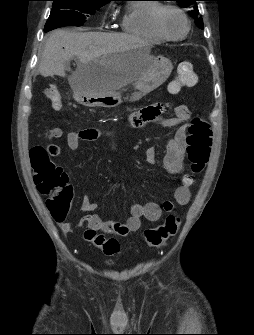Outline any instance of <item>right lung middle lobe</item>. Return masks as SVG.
Masks as SVG:
<instances>
[{
	"mask_svg": "<svg viewBox=\"0 0 254 335\" xmlns=\"http://www.w3.org/2000/svg\"><path fill=\"white\" fill-rule=\"evenodd\" d=\"M52 10L45 24L48 32L63 26H82L86 18L95 13L106 1L100 0H52Z\"/></svg>",
	"mask_w": 254,
	"mask_h": 335,
	"instance_id": "dd1d6c3e",
	"label": "right lung middle lobe"
}]
</instances>
